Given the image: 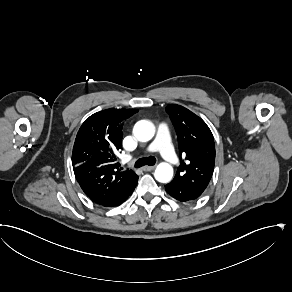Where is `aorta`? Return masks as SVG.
Instances as JSON below:
<instances>
[{
    "label": "aorta",
    "mask_w": 292,
    "mask_h": 292,
    "mask_svg": "<svg viewBox=\"0 0 292 292\" xmlns=\"http://www.w3.org/2000/svg\"><path fill=\"white\" fill-rule=\"evenodd\" d=\"M154 133V125L148 121H139L134 127V135L142 142L151 140ZM154 176L159 182H169L173 177V166L166 161L160 162L156 166Z\"/></svg>",
    "instance_id": "1"
}]
</instances>
